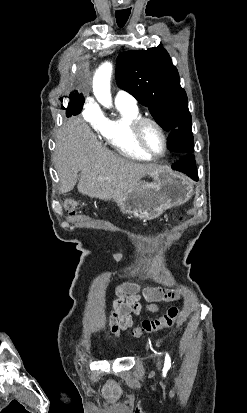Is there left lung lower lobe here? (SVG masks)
I'll use <instances>...</instances> for the list:
<instances>
[{
  "label": "left lung lower lobe",
  "mask_w": 247,
  "mask_h": 413,
  "mask_svg": "<svg viewBox=\"0 0 247 413\" xmlns=\"http://www.w3.org/2000/svg\"><path fill=\"white\" fill-rule=\"evenodd\" d=\"M172 169L183 172L193 180H198L195 157L192 153L181 154V158L174 163Z\"/></svg>",
  "instance_id": "0a47b994"
}]
</instances>
